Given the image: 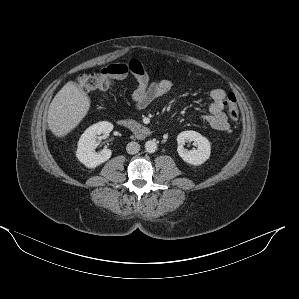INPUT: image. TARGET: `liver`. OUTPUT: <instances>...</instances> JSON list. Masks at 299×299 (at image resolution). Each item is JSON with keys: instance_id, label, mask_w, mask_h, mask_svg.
<instances>
[{"instance_id": "1", "label": "liver", "mask_w": 299, "mask_h": 299, "mask_svg": "<svg viewBox=\"0 0 299 299\" xmlns=\"http://www.w3.org/2000/svg\"><path fill=\"white\" fill-rule=\"evenodd\" d=\"M90 98L72 81L67 82L52 100L47 115L50 131L58 138L66 136L87 115Z\"/></svg>"}]
</instances>
